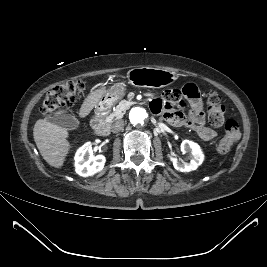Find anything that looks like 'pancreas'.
Returning a JSON list of instances; mask_svg holds the SVG:
<instances>
[{
    "label": "pancreas",
    "mask_w": 267,
    "mask_h": 267,
    "mask_svg": "<svg viewBox=\"0 0 267 267\" xmlns=\"http://www.w3.org/2000/svg\"><path fill=\"white\" fill-rule=\"evenodd\" d=\"M125 110L126 108H124L120 103L112 113L106 116L105 122L112 123L113 121L122 118L125 114Z\"/></svg>",
    "instance_id": "1"
}]
</instances>
